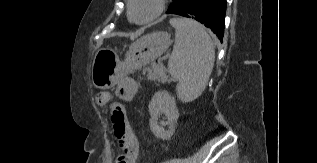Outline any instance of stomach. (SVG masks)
Wrapping results in <instances>:
<instances>
[{"label":"stomach","mask_w":317,"mask_h":163,"mask_svg":"<svg viewBox=\"0 0 317 163\" xmlns=\"http://www.w3.org/2000/svg\"><path fill=\"white\" fill-rule=\"evenodd\" d=\"M170 44L171 35L157 31L136 40L124 59L110 48L98 50L92 63L93 85L99 89L112 88L120 78L161 56Z\"/></svg>","instance_id":"stomach-1"}]
</instances>
